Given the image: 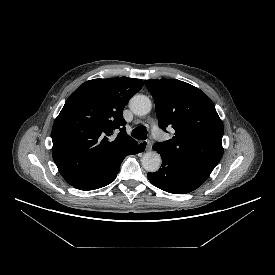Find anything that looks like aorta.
<instances>
[{
	"label": "aorta",
	"mask_w": 275,
	"mask_h": 275,
	"mask_svg": "<svg viewBox=\"0 0 275 275\" xmlns=\"http://www.w3.org/2000/svg\"><path fill=\"white\" fill-rule=\"evenodd\" d=\"M131 111L136 115H146L151 111L152 104L150 99L145 95H135L129 102ZM142 166L147 172H156L161 166V156L155 151L146 152L142 159Z\"/></svg>",
	"instance_id": "aorta-1"
}]
</instances>
